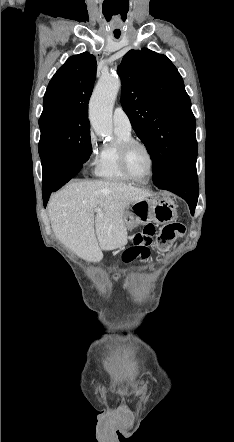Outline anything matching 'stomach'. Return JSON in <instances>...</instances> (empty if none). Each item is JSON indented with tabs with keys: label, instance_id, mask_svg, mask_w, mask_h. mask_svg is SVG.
I'll list each match as a JSON object with an SVG mask.
<instances>
[{
	"label": "stomach",
	"instance_id": "0dacf381",
	"mask_svg": "<svg viewBox=\"0 0 234 442\" xmlns=\"http://www.w3.org/2000/svg\"><path fill=\"white\" fill-rule=\"evenodd\" d=\"M177 218L174 200L169 195L145 197L130 204L124 212L123 223L126 230L151 222L166 224Z\"/></svg>",
	"mask_w": 234,
	"mask_h": 442
}]
</instances>
